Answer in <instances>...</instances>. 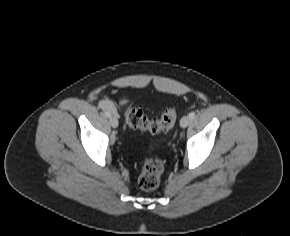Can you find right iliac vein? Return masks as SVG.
<instances>
[{
    "mask_svg": "<svg viewBox=\"0 0 290 236\" xmlns=\"http://www.w3.org/2000/svg\"><path fill=\"white\" fill-rule=\"evenodd\" d=\"M109 121H110V124H111V126H112L113 128H117V127H118L119 122H118V119H117L116 115L111 116V117L109 118Z\"/></svg>",
    "mask_w": 290,
    "mask_h": 236,
    "instance_id": "right-iliac-vein-1",
    "label": "right iliac vein"
}]
</instances>
